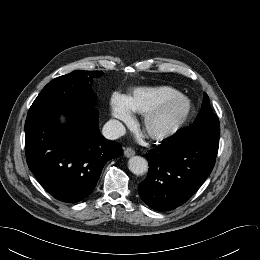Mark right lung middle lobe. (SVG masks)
<instances>
[{
    "label": "right lung middle lobe",
    "instance_id": "obj_1",
    "mask_svg": "<svg viewBox=\"0 0 260 260\" xmlns=\"http://www.w3.org/2000/svg\"><path fill=\"white\" fill-rule=\"evenodd\" d=\"M103 72L76 70L70 74L50 81L37 96L32 105L44 103L95 105L94 95L89 81L100 77Z\"/></svg>",
    "mask_w": 260,
    "mask_h": 260
}]
</instances>
